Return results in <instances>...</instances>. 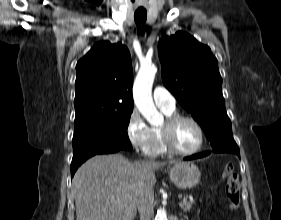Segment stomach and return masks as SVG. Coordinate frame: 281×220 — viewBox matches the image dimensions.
Here are the masks:
<instances>
[{
  "label": "stomach",
  "mask_w": 281,
  "mask_h": 220,
  "mask_svg": "<svg viewBox=\"0 0 281 220\" xmlns=\"http://www.w3.org/2000/svg\"><path fill=\"white\" fill-rule=\"evenodd\" d=\"M169 177L177 187L190 189L199 183L201 172L192 162H178L170 168Z\"/></svg>",
  "instance_id": "obj_1"
}]
</instances>
